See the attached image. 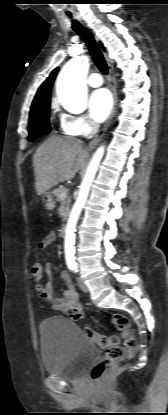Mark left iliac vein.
<instances>
[{"mask_svg":"<svg viewBox=\"0 0 168 415\" xmlns=\"http://www.w3.org/2000/svg\"><path fill=\"white\" fill-rule=\"evenodd\" d=\"M77 282H78V286L80 287V289L83 292H88L89 291L87 285L85 284V282L83 281V279L81 277H78Z\"/></svg>","mask_w":168,"mask_h":415,"instance_id":"obj_1","label":"left iliac vein"}]
</instances>
